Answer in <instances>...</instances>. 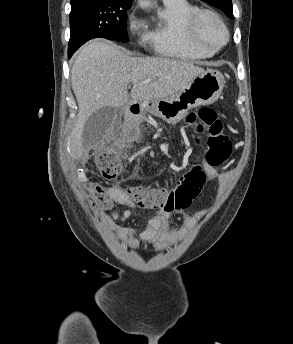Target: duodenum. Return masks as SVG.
Here are the masks:
<instances>
[{
    "instance_id": "410a0bca",
    "label": "duodenum",
    "mask_w": 293,
    "mask_h": 344,
    "mask_svg": "<svg viewBox=\"0 0 293 344\" xmlns=\"http://www.w3.org/2000/svg\"><path fill=\"white\" fill-rule=\"evenodd\" d=\"M128 113L131 117H135L138 115V112L131 111L130 109H128Z\"/></svg>"
}]
</instances>
